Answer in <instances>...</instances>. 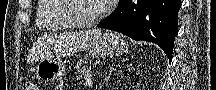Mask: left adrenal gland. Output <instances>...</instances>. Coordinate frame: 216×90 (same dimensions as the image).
<instances>
[{
	"mask_svg": "<svg viewBox=\"0 0 216 90\" xmlns=\"http://www.w3.org/2000/svg\"><path fill=\"white\" fill-rule=\"evenodd\" d=\"M126 60H127V58H126ZM116 68H118V66H116ZM110 76H111V74H109V76H108L107 80H109Z\"/></svg>",
	"mask_w": 216,
	"mask_h": 90,
	"instance_id": "left-adrenal-gland-1",
	"label": "left adrenal gland"
}]
</instances>
